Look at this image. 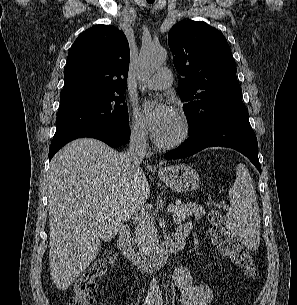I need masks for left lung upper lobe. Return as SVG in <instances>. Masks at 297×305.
I'll return each mask as SVG.
<instances>
[{
    "mask_svg": "<svg viewBox=\"0 0 297 305\" xmlns=\"http://www.w3.org/2000/svg\"><path fill=\"white\" fill-rule=\"evenodd\" d=\"M174 66L180 75L178 94L185 101L190 129L227 105L242 102L236 66L226 38L202 21L175 24L168 34Z\"/></svg>",
    "mask_w": 297,
    "mask_h": 305,
    "instance_id": "5c2ea615",
    "label": "left lung upper lobe"
}]
</instances>
